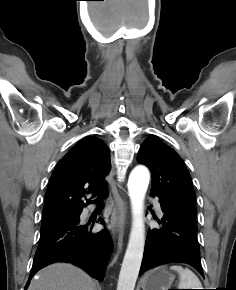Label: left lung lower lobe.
Segmentation results:
<instances>
[{
	"instance_id": "obj_1",
	"label": "left lung lower lobe",
	"mask_w": 236,
	"mask_h": 290,
	"mask_svg": "<svg viewBox=\"0 0 236 290\" xmlns=\"http://www.w3.org/2000/svg\"><path fill=\"white\" fill-rule=\"evenodd\" d=\"M161 208L164 215L158 222L162 227L148 231L139 275L162 264L183 262L193 266L204 276L197 226L176 215L163 203Z\"/></svg>"
}]
</instances>
